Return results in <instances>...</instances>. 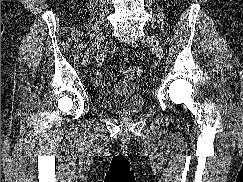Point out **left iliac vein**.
<instances>
[{"instance_id":"obj_1","label":"left iliac vein","mask_w":243,"mask_h":182,"mask_svg":"<svg viewBox=\"0 0 243 182\" xmlns=\"http://www.w3.org/2000/svg\"><path fill=\"white\" fill-rule=\"evenodd\" d=\"M142 41L144 43L149 44L152 47V49L154 50L157 58L159 60H162V58H163V48H162L159 40L155 36L146 35V36L143 37Z\"/></svg>"}]
</instances>
